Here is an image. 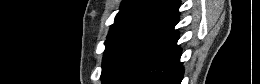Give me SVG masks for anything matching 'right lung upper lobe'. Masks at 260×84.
I'll return each instance as SVG.
<instances>
[{
  "label": "right lung upper lobe",
  "mask_w": 260,
  "mask_h": 84,
  "mask_svg": "<svg viewBox=\"0 0 260 84\" xmlns=\"http://www.w3.org/2000/svg\"><path fill=\"white\" fill-rule=\"evenodd\" d=\"M179 6V0H123L108 36L136 26L174 28Z\"/></svg>",
  "instance_id": "1"
}]
</instances>
